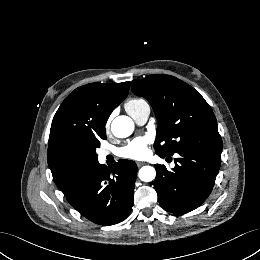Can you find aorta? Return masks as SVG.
Segmentation results:
<instances>
[{
    "label": "aorta",
    "mask_w": 260,
    "mask_h": 260,
    "mask_svg": "<svg viewBox=\"0 0 260 260\" xmlns=\"http://www.w3.org/2000/svg\"><path fill=\"white\" fill-rule=\"evenodd\" d=\"M111 131L117 138H126L133 133L134 122L128 116H118L112 121ZM138 176L140 180L144 182H150L155 179L156 171L152 166H143L139 170Z\"/></svg>",
    "instance_id": "762f6f07"
}]
</instances>
